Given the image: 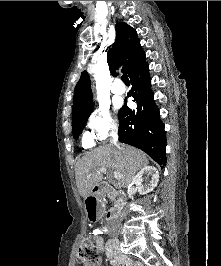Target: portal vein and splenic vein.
<instances>
[{
  "mask_svg": "<svg viewBox=\"0 0 221 266\" xmlns=\"http://www.w3.org/2000/svg\"><path fill=\"white\" fill-rule=\"evenodd\" d=\"M98 171L102 172V173H105L107 171V168L101 167V168L98 169ZM114 177H115V179L120 180L121 179V174L119 172H117V171H114Z\"/></svg>",
  "mask_w": 221,
  "mask_h": 266,
  "instance_id": "1",
  "label": "portal vein and splenic vein"
}]
</instances>
